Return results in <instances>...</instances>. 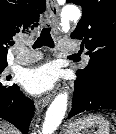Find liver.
<instances>
[{"label":"liver","mask_w":116,"mask_h":134,"mask_svg":"<svg viewBox=\"0 0 116 134\" xmlns=\"http://www.w3.org/2000/svg\"><path fill=\"white\" fill-rule=\"evenodd\" d=\"M0 134H17V131L9 124L0 121Z\"/></svg>","instance_id":"1"}]
</instances>
